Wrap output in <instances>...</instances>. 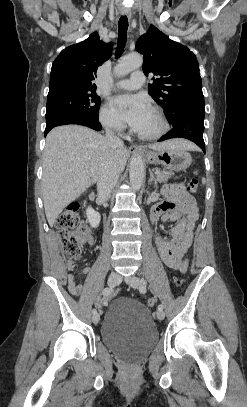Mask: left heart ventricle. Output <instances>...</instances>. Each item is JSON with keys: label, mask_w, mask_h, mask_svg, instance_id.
<instances>
[{"label": "left heart ventricle", "mask_w": 247, "mask_h": 407, "mask_svg": "<svg viewBox=\"0 0 247 407\" xmlns=\"http://www.w3.org/2000/svg\"><path fill=\"white\" fill-rule=\"evenodd\" d=\"M161 124L157 117L149 110L146 116L135 130L144 135H152L158 132Z\"/></svg>", "instance_id": "b2bd125f"}]
</instances>
